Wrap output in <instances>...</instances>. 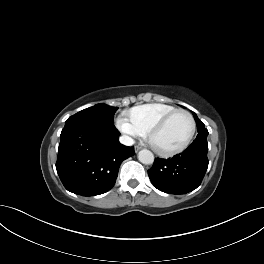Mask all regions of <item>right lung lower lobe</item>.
Here are the masks:
<instances>
[{"label":"right lung lower lobe","instance_id":"right-lung-lower-lobe-1","mask_svg":"<svg viewBox=\"0 0 264 264\" xmlns=\"http://www.w3.org/2000/svg\"><path fill=\"white\" fill-rule=\"evenodd\" d=\"M115 127L68 124L61 132L56 163L65 188L82 196L110 190L123 160L135 154L134 147L119 143Z\"/></svg>","mask_w":264,"mask_h":264}]
</instances>
